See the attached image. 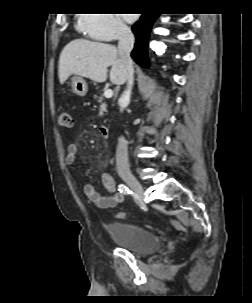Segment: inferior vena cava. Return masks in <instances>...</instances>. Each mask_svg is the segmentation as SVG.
Segmentation results:
<instances>
[{
	"instance_id": "obj_1",
	"label": "inferior vena cava",
	"mask_w": 252,
	"mask_h": 303,
	"mask_svg": "<svg viewBox=\"0 0 252 303\" xmlns=\"http://www.w3.org/2000/svg\"><path fill=\"white\" fill-rule=\"evenodd\" d=\"M118 39H119L118 52L128 72L127 88L121 94V97L119 98L118 101L120 106V111H123V109L127 107V105L130 102L131 89L134 81V77H133L134 69H133V63L130 53L133 49L135 38L131 29L127 25L121 23L119 25ZM116 169L118 174L120 175L130 174L127 141L125 140L124 137H120L118 139V144L116 149Z\"/></svg>"
}]
</instances>
